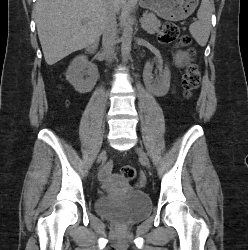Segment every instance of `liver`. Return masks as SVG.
I'll use <instances>...</instances> for the list:
<instances>
[{
    "label": "liver",
    "instance_id": "6515ba94",
    "mask_svg": "<svg viewBox=\"0 0 248 250\" xmlns=\"http://www.w3.org/2000/svg\"><path fill=\"white\" fill-rule=\"evenodd\" d=\"M111 3L118 12L124 0H37L35 21L46 63L54 65L93 44Z\"/></svg>",
    "mask_w": 248,
    "mask_h": 250
}]
</instances>
